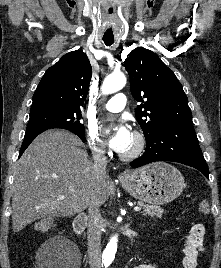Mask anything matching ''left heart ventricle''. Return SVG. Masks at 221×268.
<instances>
[{
  "mask_svg": "<svg viewBox=\"0 0 221 268\" xmlns=\"http://www.w3.org/2000/svg\"><path fill=\"white\" fill-rule=\"evenodd\" d=\"M135 146H136V140H135L134 136L132 135L131 142L123 153L127 154V153L132 152L134 150Z\"/></svg>",
  "mask_w": 221,
  "mask_h": 268,
  "instance_id": "1",
  "label": "left heart ventricle"
}]
</instances>
